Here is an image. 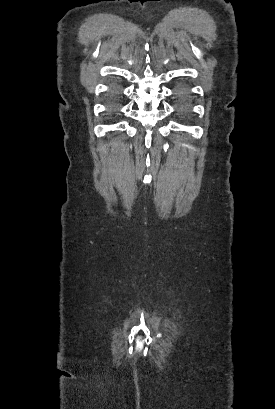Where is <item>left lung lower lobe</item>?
Listing matches in <instances>:
<instances>
[{"mask_svg":"<svg viewBox=\"0 0 275 409\" xmlns=\"http://www.w3.org/2000/svg\"><path fill=\"white\" fill-rule=\"evenodd\" d=\"M176 96H177V108L179 110V113L184 114L185 113V103H184V98L186 97L187 93H186V88L183 85H179L177 86L176 90Z\"/></svg>","mask_w":275,"mask_h":409,"instance_id":"0a47b994","label":"left lung lower lobe"}]
</instances>
